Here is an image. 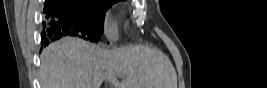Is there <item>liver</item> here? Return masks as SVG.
<instances>
[{"label":"liver","mask_w":267,"mask_h":88,"mask_svg":"<svg viewBox=\"0 0 267 88\" xmlns=\"http://www.w3.org/2000/svg\"><path fill=\"white\" fill-rule=\"evenodd\" d=\"M40 59L41 88H100L103 81L114 88H177L176 70L169 58L147 46L110 51L65 37L43 49Z\"/></svg>","instance_id":"1"}]
</instances>
